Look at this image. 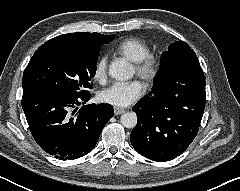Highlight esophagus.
I'll return each mask as SVG.
<instances>
[{
  "mask_svg": "<svg viewBox=\"0 0 240 191\" xmlns=\"http://www.w3.org/2000/svg\"><path fill=\"white\" fill-rule=\"evenodd\" d=\"M125 112L124 109H121V108H115L114 109V114L115 115H120V114H123Z\"/></svg>",
  "mask_w": 240,
  "mask_h": 191,
  "instance_id": "34e87169",
  "label": "esophagus"
}]
</instances>
